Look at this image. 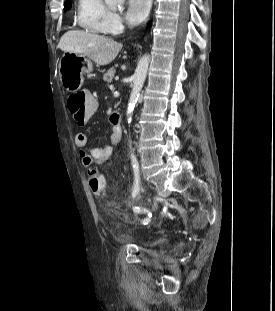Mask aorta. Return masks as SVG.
<instances>
[{"label":"aorta","mask_w":275,"mask_h":311,"mask_svg":"<svg viewBox=\"0 0 275 311\" xmlns=\"http://www.w3.org/2000/svg\"><path fill=\"white\" fill-rule=\"evenodd\" d=\"M105 2L110 6H121L124 4L125 0H105ZM149 62H150L149 55L148 54L143 55L139 60L137 68L133 75V86L127 107V117L129 123L131 122L133 110L138 100L140 91L143 87L144 81L146 79Z\"/></svg>","instance_id":"obj_1"}]
</instances>
